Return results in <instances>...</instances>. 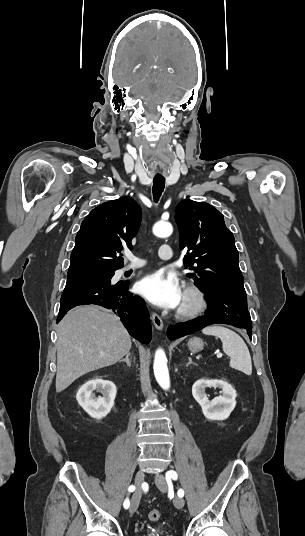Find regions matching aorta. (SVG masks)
Wrapping results in <instances>:
<instances>
[{"label":"aorta","mask_w":305,"mask_h":536,"mask_svg":"<svg viewBox=\"0 0 305 536\" xmlns=\"http://www.w3.org/2000/svg\"><path fill=\"white\" fill-rule=\"evenodd\" d=\"M173 227L169 222H157L153 226V234L157 237H168L172 234ZM154 375L160 385L164 390L170 388V377L167 367V357L163 349L159 348L155 352L154 357Z\"/></svg>","instance_id":"762f6f07"}]
</instances>
